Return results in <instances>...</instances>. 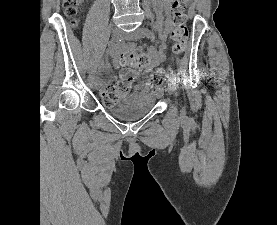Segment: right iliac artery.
Wrapping results in <instances>:
<instances>
[{
	"label": "right iliac artery",
	"mask_w": 277,
	"mask_h": 225,
	"mask_svg": "<svg viewBox=\"0 0 277 225\" xmlns=\"http://www.w3.org/2000/svg\"><path fill=\"white\" fill-rule=\"evenodd\" d=\"M124 44V41L122 39L118 40V41H110L107 52L111 51V50H115L117 48H119L120 46H122ZM101 65L102 62L98 65V68L95 70L94 73V79L95 80H99L100 79V69H101Z\"/></svg>",
	"instance_id": "1"
}]
</instances>
